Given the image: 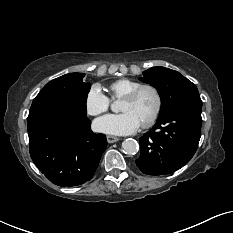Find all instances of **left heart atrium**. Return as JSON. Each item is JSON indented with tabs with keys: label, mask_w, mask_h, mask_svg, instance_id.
Returning <instances> with one entry per match:
<instances>
[{
	"label": "left heart atrium",
	"mask_w": 233,
	"mask_h": 233,
	"mask_svg": "<svg viewBox=\"0 0 233 233\" xmlns=\"http://www.w3.org/2000/svg\"><path fill=\"white\" fill-rule=\"evenodd\" d=\"M141 121L130 111L108 114L95 120L96 131L110 135H127L137 131Z\"/></svg>",
	"instance_id": "1"
}]
</instances>
